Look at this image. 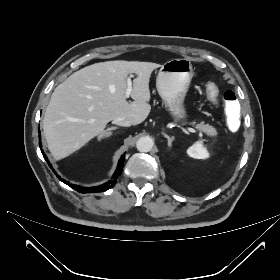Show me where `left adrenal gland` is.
Returning a JSON list of instances; mask_svg holds the SVG:
<instances>
[{"label":"left adrenal gland","mask_w":280,"mask_h":280,"mask_svg":"<svg viewBox=\"0 0 280 280\" xmlns=\"http://www.w3.org/2000/svg\"><path fill=\"white\" fill-rule=\"evenodd\" d=\"M164 137L167 138L168 140V146L171 147L172 146V142L174 140V137H170L169 135H167L166 133H163Z\"/></svg>","instance_id":"a2214340"}]
</instances>
